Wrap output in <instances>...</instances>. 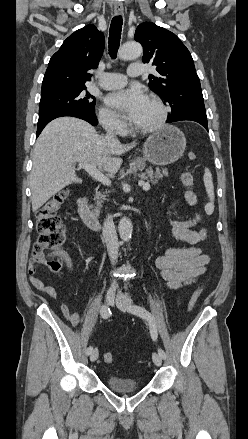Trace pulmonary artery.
Returning a JSON list of instances; mask_svg holds the SVG:
<instances>
[{"instance_id": "e3ab8cb5", "label": "pulmonary artery", "mask_w": 248, "mask_h": 439, "mask_svg": "<svg viewBox=\"0 0 248 439\" xmlns=\"http://www.w3.org/2000/svg\"><path fill=\"white\" fill-rule=\"evenodd\" d=\"M143 74L142 64L135 62L128 68V75L131 77H138ZM126 76L120 73L105 72L99 74L97 85L105 90L117 89L126 84Z\"/></svg>"}]
</instances>
